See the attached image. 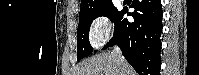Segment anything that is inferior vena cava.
I'll list each match as a JSON object with an SVG mask.
<instances>
[{
	"mask_svg": "<svg viewBox=\"0 0 199 75\" xmlns=\"http://www.w3.org/2000/svg\"><path fill=\"white\" fill-rule=\"evenodd\" d=\"M114 52L118 55L119 60L123 61L124 58L121 54V51L119 49H114Z\"/></svg>",
	"mask_w": 199,
	"mask_h": 75,
	"instance_id": "inferior-vena-cava-1",
	"label": "inferior vena cava"
}]
</instances>
